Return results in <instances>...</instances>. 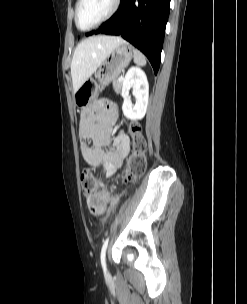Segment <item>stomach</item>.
<instances>
[{
	"mask_svg": "<svg viewBox=\"0 0 247 304\" xmlns=\"http://www.w3.org/2000/svg\"><path fill=\"white\" fill-rule=\"evenodd\" d=\"M132 46L124 43L115 48L95 72V80L86 81L74 92L75 104L85 109L98 97L100 90L114 81L129 65L133 52Z\"/></svg>",
	"mask_w": 247,
	"mask_h": 304,
	"instance_id": "1",
	"label": "stomach"
}]
</instances>
